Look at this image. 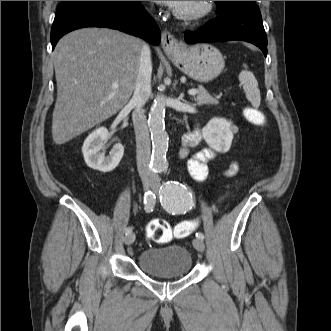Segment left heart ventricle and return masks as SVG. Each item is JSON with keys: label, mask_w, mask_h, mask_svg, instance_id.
<instances>
[{"label": "left heart ventricle", "mask_w": 331, "mask_h": 331, "mask_svg": "<svg viewBox=\"0 0 331 331\" xmlns=\"http://www.w3.org/2000/svg\"><path fill=\"white\" fill-rule=\"evenodd\" d=\"M199 1H181V3L176 7L179 10L189 11L196 7Z\"/></svg>", "instance_id": "left-heart-ventricle-1"}]
</instances>
